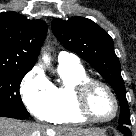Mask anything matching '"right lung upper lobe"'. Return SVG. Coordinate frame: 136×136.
I'll list each match as a JSON object with an SVG mask.
<instances>
[{"label": "right lung upper lobe", "instance_id": "1", "mask_svg": "<svg viewBox=\"0 0 136 136\" xmlns=\"http://www.w3.org/2000/svg\"><path fill=\"white\" fill-rule=\"evenodd\" d=\"M42 20H28L16 12L0 14V69L31 70L46 37Z\"/></svg>", "mask_w": 136, "mask_h": 136}]
</instances>
